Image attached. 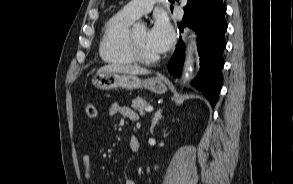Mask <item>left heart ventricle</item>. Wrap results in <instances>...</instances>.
I'll return each mask as SVG.
<instances>
[{
	"label": "left heart ventricle",
	"instance_id": "b2bd125f",
	"mask_svg": "<svg viewBox=\"0 0 293 184\" xmlns=\"http://www.w3.org/2000/svg\"><path fill=\"white\" fill-rule=\"evenodd\" d=\"M134 38L139 46L141 53L147 57L157 56L152 47L149 45L147 41V30L146 28H139L133 32Z\"/></svg>",
	"mask_w": 293,
	"mask_h": 184
}]
</instances>
